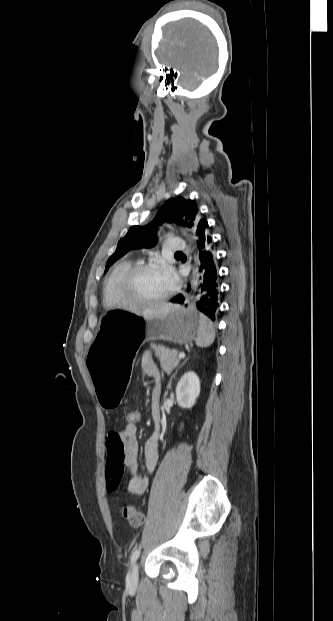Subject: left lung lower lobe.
<instances>
[{"label": "left lung lower lobe", "mask_w": 333, "mask_h": 621, "mask_svg": "<svg viewBox=\"0 0 333 621\" xmlns=\"http://www.w3.org/2000/svg\"><path fill=\"white\" fill-rule=\"evenodd\" d=\"M196 236V243L200 251L201 264L199 271L202 281L199 285L201 297L197 302V307L214 321L219 308L220 285L217 258L213 250L208 224L199 228L196 231ZM187 290L190 291V286H188ZM171 302L183 304L185 298L182 294H179L174 297Z\"/></svg>", "instance_id": "left-lung-lower-lobe-1"}]
</instances>
